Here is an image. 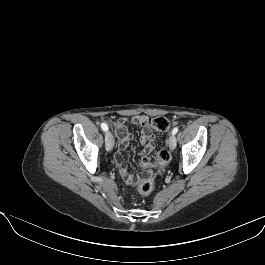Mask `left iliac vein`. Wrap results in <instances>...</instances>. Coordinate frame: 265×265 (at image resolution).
<instances>
[{
    "label": "left iliac vein",
    "mask_w": 265,
    "mask_h": 265,
    "mask_svg": "<svg viewBox=\"0 0 265 265\" xmlns=\"http://www.w3.org/2000/svg\"><path fill=\"white\" fill-rule=\"evenodd\" d=\"M176 144H177V140L175 135H171L168 139V145L170 147L171 150H174L176 148Z\"/></svg>",
    "instance_id": "obj_1"
}]
</instances>
